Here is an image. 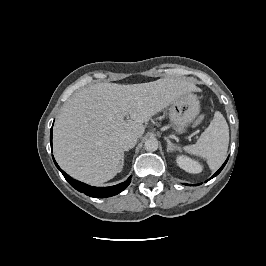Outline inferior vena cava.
Segmentation results:
<instances>
[{
    "label": "inferior vena cava",
    "instance_id": "602c4592",
    "mask_svg": "<svg viewBox=\"0 0 266 266\" xmlns=\"http://www.w3.org/2000/svg\"><path fill=\"white\" fill-rule=\"evenodd\" d=\"M136 142L137 136L135 134H125L121 139V145L124 150L133 148Z\"/></svg>",
    "mask_w": 266,
    "mask_h": 266
}]
</instances>
